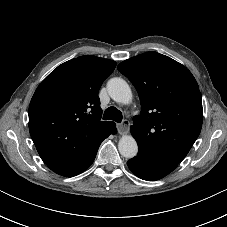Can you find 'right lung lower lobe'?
I'll return each instance as SVG.
<instances>
[{"instance_id":"98d812e1","label":"right lung lower lobe","mask_w":227,"mask_h":227,"mask_svg":"<svg viewBox=\"0 0 227 227\" xmlns=\"http://www.w3.org/2000/svg\"><path fill=\"white\" fill-rule=\"evenodd\" d=\"M115 132H116V127L114 125L110 129L108 136L110 134H114ZM96 153H97V151L91 157H89L84 163H82L77 169H75L74 171H72L71 173L66 175V177H72V176L78 175V174L82 173L83 171H85L93 163V161L96 157Z\"/></svg>"}]
</instances>
